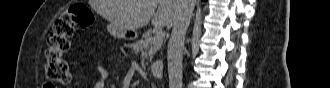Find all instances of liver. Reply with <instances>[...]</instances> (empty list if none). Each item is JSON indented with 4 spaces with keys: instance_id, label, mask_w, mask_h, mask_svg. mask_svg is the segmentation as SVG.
<instances>
[{
    "instance_id": "obj_1",
    "label": "liver",
    "mask_w": 330,
    "mask_h": 88,
    "mask_svg": "<svg viewBox=\"0 0 330 88\" xmlns=\"http://www.w3.org/2000/svg\"><path fill=\"white\" fill-rule=\"evenodd\" d=\"M180 6L179 0H97L96 11L112 28L127 31L141 28L150 20L156 27L170 28Z\"/></svg>"
}]
</instances>
